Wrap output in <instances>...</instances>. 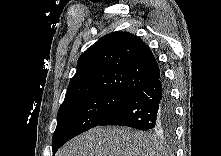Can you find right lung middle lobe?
I'll use <instances>...</instances> for the list:
<instances>
[{
	"label": "right lung middle lobe",
	"mask_w": 221,
	"mask_h": 156,
	"mask_svg": "<svg viewBox=\"0 0 221 156\" xmlns=\"http://www.w3.org/2000/svg\"><path fill=\"white\" fill-rule=\"evenodd\" d=\"M129 97L98 93L63 102L57 116L53 134V154L73 137L98 126Z\"/></svg>",
	"instance_id": "obj_1"
}]
</instances>
